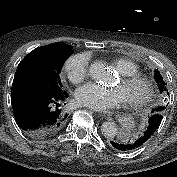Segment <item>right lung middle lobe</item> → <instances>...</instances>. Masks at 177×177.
<instances>
[{"label": "right lung middle lobe", "instance_id": "dd1d6c3e", "mask_svg": "<svg viewBox=\"0 0 177 177\" xmlns=\"http://www.w3.org/2000/svg\"><path fill=\"white\" fill-rule=\"evenodd\" d=\"M67 57L49 66L35 63L18 65L12 84V89H28L43 91L50 94H63L60 79L61 68Z\"/></svg>", "mask_w": 177, "mask_h": 177}]
</instances>
